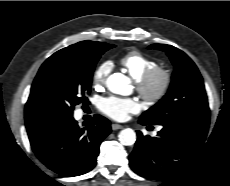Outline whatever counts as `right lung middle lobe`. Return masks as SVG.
<instances>
[{"mask_svg": "<svg viewBox=\"0 0 230 186\" xmlns=\"http://www.w3.org/2000/svg\"><path fill=\"white\" fill-rule=\"evenodd\" d=\"M115 45L89 41L84 48H64L41 66L29 100L41 117L65 118L74 106L88 102L92 75L100 56Z\"/></svg>", "mask_w": 230, "mask_h": 186, "instance_id": "right-lung-middle-lobe-1", "label": "right lung middle lobe"}]
</instances>
